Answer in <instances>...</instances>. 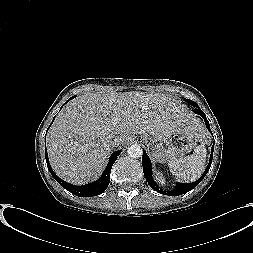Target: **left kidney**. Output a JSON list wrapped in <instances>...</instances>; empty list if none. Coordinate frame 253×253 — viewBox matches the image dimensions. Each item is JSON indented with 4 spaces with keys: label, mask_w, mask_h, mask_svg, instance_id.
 I'll list each match as a JSON object with an SVG mask.
<instances>
[{
    "label": "left kidney",
    "mask_w": 253,
    "mask_h": 253,
    "mask_svg": "<svg viewBox=\"0 0 253 253\" xmlns=\"http://www.w3.org/2000/svg\"><path fill=\"white\" fill-rule=\"evenodd\" d=\"M158 179L162 184H164L165 179L163 178L162 174L158 173Z\"/></svg>",
    "instance_id": "5707ae66"
}]
</instances>
